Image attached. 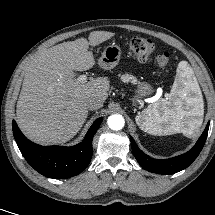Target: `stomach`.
I'll return each instance as SVG.
<instances>
[{"instance_id":"1","label":"stomach","mask_w":215,"mask_h":215,"mask_svg":"<svg viewBox=\"0 0 215 215\" xmlns=\"http://www.w3.org/2000/svg\"><path fill=\"white\" fill-rule=\"evenodd\" d=\"M120 56L121 48L118 45H108L105 47L101 57L98 59V64L101 68L110 70L118 64ZM152 92L153 88L148 82L138 83L136 95L133 99L134 103H140L143 98L149 96ZM138 125L143 130L142 123H139Z\"/></svg>"}]
</instances>
